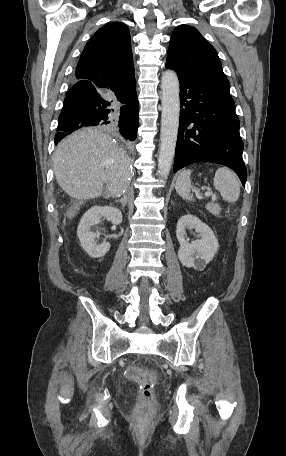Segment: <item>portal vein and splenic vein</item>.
<instances>
[{
    "mask_svg": "<svg viewBox=\"0 0 286 456\" xmlns=\"http://www.w3.org/2000/svg\"><path fill=\"white\" fill-rule=\"evenodd\" d=\"M204 195H205V196H212L213 199H216V198H217L216 194H213L212 192H205Z\"/></svg>",
    "mask_w": 286,
    "mask_h": 456,
    "instance_id": "18ae733b",
    "label": "portal vein and splenic vein"
}]
</instances>
